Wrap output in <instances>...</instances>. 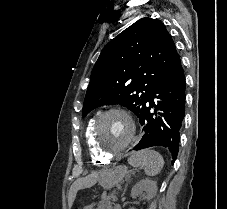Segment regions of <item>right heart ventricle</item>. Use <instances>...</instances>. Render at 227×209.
<instances>
[{
    "instance_id": "1",
    "label": "right heart ventricle",
    "mask_w": 227,
    "mask_h": 209,
    "mask_svg": "<svg viewBox=\"0 0 227 209\" xmlns=\"http://www.w3.org/2000/svg\"><path fill=\"white\" fill-rule=\"evenodd\" d=\"M95 119L96 117L91 118L85 127V131H84L85 142H86L90 157L94 163H97V164L108 163L110 162L111 158L100 155L92 141V128H93Z\"/></svg>"
}]
</instances>
